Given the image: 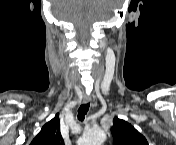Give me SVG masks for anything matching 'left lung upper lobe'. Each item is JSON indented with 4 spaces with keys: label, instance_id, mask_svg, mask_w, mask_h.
Wrapping results in <instances>:
<instances>
[{
    "label": "left lung upper lobe",
    "instance_id": "left-lung-upper-lobe-1",
    "mask_svg": "<svg viewBox=\"0 0 176 145\" xmlns=\"http://www.w3.org/2000/svg\"><path fill=\"white\" fill-rule=\"evenodd\" d=\"M111 133L114 145H148L146 138L131 124L117 117L113 120Z\"/></svg>",
    "mask_w": 176,
    "mask_h": 145
}]
</instances>
